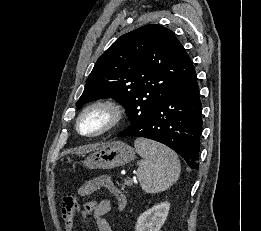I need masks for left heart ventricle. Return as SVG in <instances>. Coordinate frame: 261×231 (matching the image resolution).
Wrapping results in <instances>:
<instances>
[{
  "label": "left heart ventricle",
  "instance_id": "b2bd125f",
  "mask_svg": "<svg viewBox=\"0 0 261 231\" xmlns=\"http://www.w3.org/2000/svg\"><path fill=\"white\" fill-rule=\"evenodd\" d=\"M109 121V114L104 109H94L86 113L80 121L83 133H93L103 128Z\"/></svg>",
  "mask_w": 261,
  "mask_h": 231
}]
</instances>
